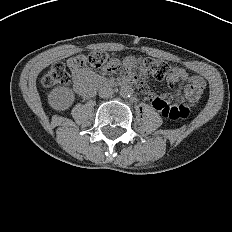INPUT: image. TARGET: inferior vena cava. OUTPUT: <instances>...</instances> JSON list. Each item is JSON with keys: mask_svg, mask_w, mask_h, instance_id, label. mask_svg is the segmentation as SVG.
I'll return each instance as SVG.
<instances>
[{"mask_svg": "<svg viewBox=\"0 0 232 232\" xmlns=\"http://www.w3.org/2000/svg\"><path fill=\"white\" fill-rule=\"evenodd\" d=\"M114 94V90L109 86H103L99 89V96L101 98H109Z\"/></svg>", "mask_w": 232, "mask_h": 232, "instance_id": "1", "label": "inferior vena cava"}]
</instances>
